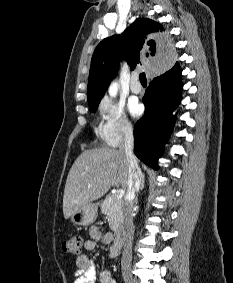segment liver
Listing matches in <instances>:
<instances>
[{
    "mask_svg": "<svg viewBox=\"0 0 233 283\" xmlns=\"http://www.w3.org/2000/svg\"><path fill=\"white\" fill-rule=\"evenodd\" d=\"M129 167L125 154L114 149L83 151L67 176L63 214L65 219L101 198L112 186L128 187Z\"/></svg>",
    "mask_w": 233,
    "mask_h": 283,
    "instance_id": "1",
    "label": "liver"
}]
</instances>
